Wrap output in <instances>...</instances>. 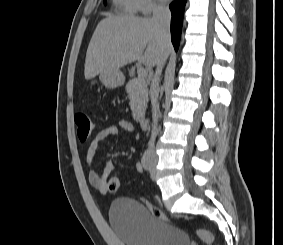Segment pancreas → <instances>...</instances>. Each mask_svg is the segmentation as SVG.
Segmentation results:
<instances>
[{"instance_id": "obj_1", "label": "pancreas", "mask_w": 283, "mask_h": 245, "mask_svg": "<svg viewBox=\"0 0 283 245\" xmlns=\"http://www.w3.org/2000/svg\"><path fill=\"white\" fill-rule=\"evenodd\" d=\"M132 116L139 121L143 118L148 103V88L145 78H132L126 85Z\"/></svg>"}]
</instances>
